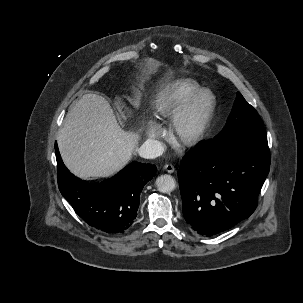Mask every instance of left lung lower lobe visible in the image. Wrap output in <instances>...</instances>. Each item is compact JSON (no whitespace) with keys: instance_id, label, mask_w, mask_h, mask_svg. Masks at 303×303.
<instances>
[{"instance_id":"left-lung-lower-lobe-1","label":"left lung lower lobe","mask_w":303,"mask_h":303,"mask_svg":"<svg viewBox=\"0 0 303 303\" xmlns=\"http://www.w3.org/2000/svg\"><path fill=\"white\" fill-rule=\"evenodd\" d=\"M269 151L235 140L201 143L178 171L186 222L213 236L248 218L269 173Z\"/></svg>"}]
</instances>
